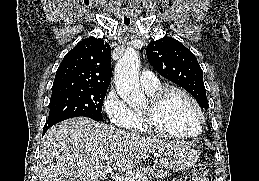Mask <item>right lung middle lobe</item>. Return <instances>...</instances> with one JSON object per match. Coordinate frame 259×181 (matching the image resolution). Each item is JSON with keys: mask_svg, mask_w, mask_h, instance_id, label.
Wrapping results in <instances>:
<instances>
[{"mask_svg": "<svg viewBox=\"0 0 259 181\" xmlns=\"http://www.w3.org/2000/svg\"><path fill=\"white\" fill-rule=\"evenodd\" d=\"M107 88L55 87L52 88L50 112L44 128L68 118L83 116L103 120L102 106Z\"/></svg>", "mask_w": 259, "mask_h": 181, "instance_id": "right-lung-middle-lobe-1", "label": "right lung middle lobe"}]
</instances>
